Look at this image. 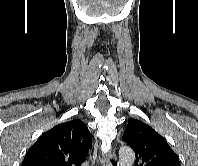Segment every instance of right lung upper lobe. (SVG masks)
I'll list each match as a JSON object with an SVG mask.
<instances>
[{"instance_id":"cb5924a9","label":"right lung upper lobe","mask_w":198,"mask_h":166,"mask_svg":"<svg viewBox=\"0 0 198 166\" xmlns=\"http://www.w3.org/2000/svg\"><path fill=\"white\" fill-rule=\"evenodd\" d=\"M91 148L88 127L75 119L45 132L21 166H81Z\"/></svg>"}]
</instances>
